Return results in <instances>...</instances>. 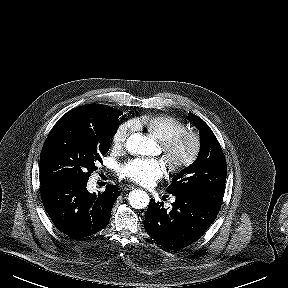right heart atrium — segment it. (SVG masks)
<instances>
[{
	"label": "right heart atrium",
	"mask_w": 288,
	"mask_h": 288,
	"mask_svg": "<svg viewBox=\"0 0 288 288\" xmlns=\"http://www.w3.org/2000/svg\"><path fill=\"white\" fill-rule=\"evenodd\" d=\"M133 128L134 126L131 122H125L121 124L113 135L112 141H113L114 147L123 148Z\"/></svg>",
	"instance_id": "right-heart-atrium-1"
}]
</instances>
